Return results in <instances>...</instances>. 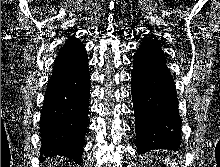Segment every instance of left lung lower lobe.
<instances>
[{"instance_id": "0a47b994", "label": "left lung lower lobe", "mask_w": 220, "mask_h": 167, "mask_svg": "<svg viewBox=\"0 0 220 167\" xmlns=\"http://www.w3.org/2000/svg\"><path fill=\"white\" fill-rule=\"evenodd\" d=\"M137 151L180 148L175 84L161 50L137 49L132 70Z\"/></svg>"}]
</instances>
